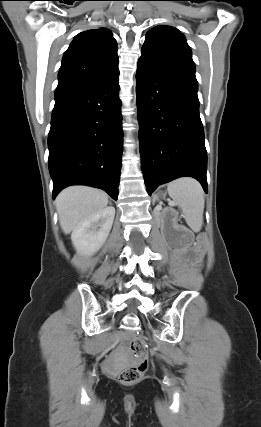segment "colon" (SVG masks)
I'll use <instances>...</instances> for the list:
<instances>
[{
    "instance_id": "5ec220e1",
    "label": "colon",
    "mask_w": 261,
    "mask_h": 427,
    "mask_svg": "<svg viewBox=\"0 0 261 427\" xmlns=\"http://www.w3.org/2000/svg\"><path fill=\"white\" fill-rule=\"evenodd\" d=\"M131 350L137 358V365L123 370L119 375L121 383L130 385L137 383L144 376L148 367V345L144 338L134 337L130 343Z\"/></svg>"
}]
</instances>
